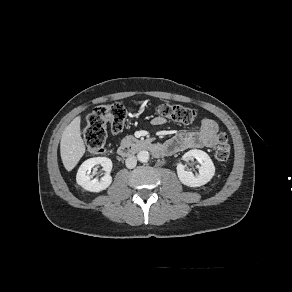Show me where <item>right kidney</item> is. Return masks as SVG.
I'll use <instances>...</instances> for the list:
<instances>
[{
    "label": "right kidney",
    "mask_w": 292,
    "mask_h": 292,
    "mask_svg": "<svg viewBox=\"0 0 292 292\" xmlns=\"http://www.w3.org/2000/svg\"><path fill=\"white\" fill-rule=\"evenodd\" d=\"M100 164L103 170L106 172L105 175L100 179H91V169ZM112 170V161L106 157H94L84 161L78 169L76 175L77 184L80 185L87 191L100 192L105 190L112 183V177L110 172Z\"/></svg>",
    "instance_id": "right-kidney-1"
}]
</instances>
